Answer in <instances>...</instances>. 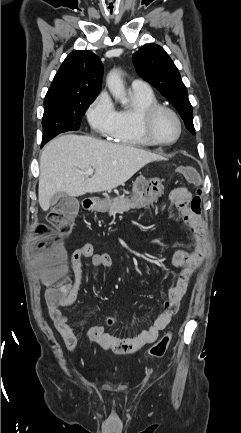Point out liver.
<instances>
[{"instance_id":"liver-1","label":"liver","mask_w":241,"mask_h":433,"mask_svg":"<svg viewBox=\"0 0 241 433\" xmlns=\"http://www.w3.org/2000/svg\"><path fill=\"white\" fill-rule=\"evenodd\" d=\"M163 157L131 146L89 136L64 135L50 141L40 156L38 201L43 211L57 192L71 197L112 190L150 162ZM95 174L86 179L84 172Z\"/></svg>"}]
</instances>
